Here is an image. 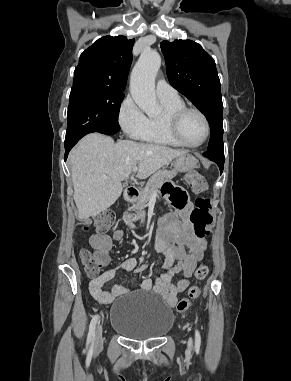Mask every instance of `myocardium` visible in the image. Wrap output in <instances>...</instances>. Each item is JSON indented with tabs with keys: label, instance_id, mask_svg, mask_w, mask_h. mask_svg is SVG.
Masks as SVG:
<instances>
[{
	"label": "myocardium",
	"instance_id": "1",
	"mask_svg": "<svg viewBox=\"0 0 291 381\" xmlns=\"http://www.w3.org/2000/svg\"><path fill=\"white\" fill-rule=\"evenodd\" d=\"M189 112L197 113L202 118L204 125H205L204 137L197 144H190V143L186 142L180 133L181 119L183 118V116L185 114H187ZM165 120H166L167 129H168V132L170 133V135L178 143H180L182 146H185V147L198 148V147L202 146L207 141V139L210 135V122H209L207 116L205 115V113L196 107L183 106L181 108L173 110V111L166 114Z\"/></svg>",
	"mask_w": 291,
	"mask_h": 381
}]
</instances>
